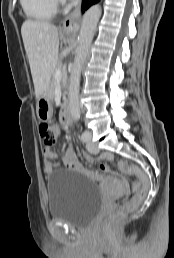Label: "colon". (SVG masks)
I'll list each match as a JSON object with an SVG mask.
<instances>
[{
  "instance_id": "5ec220e1",
  "label": "colon",
  "mask_w": 174,
  "mask_h": 258,
  "mask_svg": "<svg viewBox=\"0 0 174 258\" xmlns=\"http://www.w3.org/2000/svg\"><path fill=\"white\" fill-rule=\"evenodd\" d=\"M62 128L57 122H43L39 126V133L47 147L55 145L61 135ZM119 169L128 175L136 177L133 183L135 195L126 201L118 210L106 216L101 224L102 232L105 236L111 237L118 231L126 214L137 208L148 193L149 180L146 173L138 166L131 164L128 161L122 160L119 162Z\"/></svg>"
}]
</instances>
